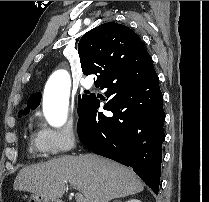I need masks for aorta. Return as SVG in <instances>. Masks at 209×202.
<instances>
[{"instance_id":"obj_1","label":"aorta","mask_w":209,"mask_h":202,"mask_svg":"<svg viewBox=\"0 0 209 202\" xmlns=\"http://www.w3.org/2000/svg\"><path fill=\"white\" fill-rule=\"evenodd\" d=\"M70 77L64 70L55 71L48 79L43 95V112L48 123L61 127L67 120Z\"/></svg>"}]
</instances>
